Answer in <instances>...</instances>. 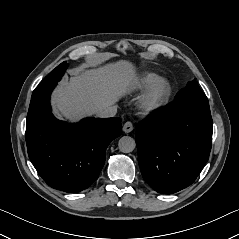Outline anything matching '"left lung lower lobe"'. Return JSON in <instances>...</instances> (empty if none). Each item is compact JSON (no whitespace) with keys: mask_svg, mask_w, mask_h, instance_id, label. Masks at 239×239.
Masks as SVG:
<instances>
[{"mask_svg":"<svg viewBox=\"0 0 239 239\" xmlns=\"http://www.w3.org/2000/svg\"><path fill=\"white\" fill-rule=\"evenodd\" d=\"M212 126L208 99L196 97L173 101L139 123L135 140L145 182L164 194L191 185L209 158Z\"/></svg>","mask_w":239,"mask_h":239,"instance_id":"1","label":"left lung lower lobe"}]
</instances>
